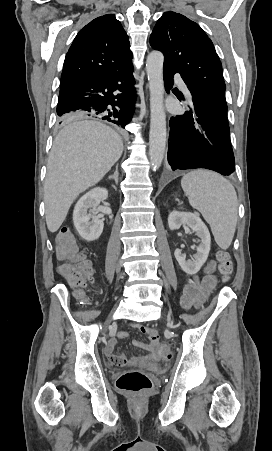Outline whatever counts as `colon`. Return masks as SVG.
I'll return each mask as SVG.
<instances>
[{
    "label": "colon",
    "instance_id": "colon-1",
    "mask_svg": "<svg viewBox=\"0 0 272 451\" xmlns=\"http://www.w3.org/2000/svg\"><path fill=\"white\" fill-rule=\"evenodd\" d=\"M78 247V240H74L68 229L60 230L57 238L58 254L62 260H68V262H59V276L61 278L67 277L68 283H72L73 287L77 289L74 297L75 303H90V294H87L86 288H82L85 285V278H89L91 275L90 263L77 262V260L85 258V253L79 251ZM217 259L220 274L224 277L231 276L233 263L228 253L225 251L218 252ZM148 348L154 349L156 354H162L164 359H171L173 356L172 351L166 345L155 346L150 343ZM109 361L114 367L126 366V359L121 354L110 355ZM151 385L150 377L139 370L126 371L116 381L118 390L134 394L149 390Z\"/></svg>",
    "mask_w": 272,
    "mask_h": 451
}]
</instances>
